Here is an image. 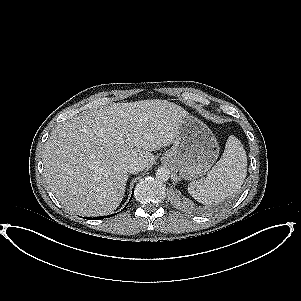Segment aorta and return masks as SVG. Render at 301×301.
I'll use <instances>...</instances> for the list:
<instances>
[{
  "label": "aorta",
  "instance_id": "1",
  "mask_svg": "<svg viewBox=\"0 0 301 301\" xmlns=\"http://www.w3.org/2000/svg\"><path fill=\"white\" fill-rule=\"evenodd\" d=\"M170 174V170L167 167H159L155 172L156 178L162 182L169 180Z\"/></svg>",
  "mask_w": 301,
  "mask_h": 301
}]
</instances>
